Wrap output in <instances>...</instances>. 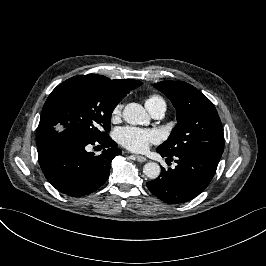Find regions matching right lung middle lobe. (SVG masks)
<instances>
[{
    "mask_svg": "<svg viewBox=\"0 0 266 266\" xmlns=\"http://www.w3.org/2000/svg\"><path fill=\"white\" fill-rule=\"evenodd\" d=\"M136 87L96 74L64 81L44 104L36 133L37 146L58 135L92 141L108 136L113 109Z\"/></svg>",
    "mask_w": 266,
    "mask_h": 266,
    "instance_id": "dd1d6c3e",
    "label": "right lung middle lobe"
}]
</instances>
